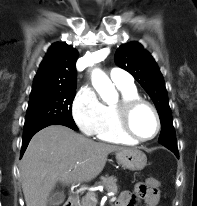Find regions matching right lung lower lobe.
Masks as SVG:
<instances>
[{
    "instance_id": "right-lung-lower-lobe-1",
    "label": "right lung lower lobe",
    "mask_w": 197,
    "mask_h": 206,
    "mask_svg": "<svg viewBox=\"0 0 197 206\" xmlns=\"http://www.w3.org/2000/svg\"><path fill=\"white\" fill-rule=\"evenodd\" d=\"M47 126H44V127H41L37 130H34V131H31L27 134H23V139H22V149H21V157L22 155L24 154L28 144H29V141L31 140V138L38 132L40 131L41 129L45 128ZM68 127V126H67ZM70 128V127H69ZM72 129V128H71ZM73 130H77V129H73Z\"/></svg>"
}]
</instances>
